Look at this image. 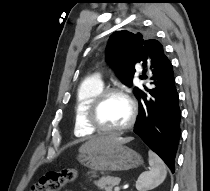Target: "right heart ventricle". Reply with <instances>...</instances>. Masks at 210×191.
Returning a JSON list of instances; mask_svg holds the SVG:
<instances>
[{
	"label": "right heart ventricle",
	"instance_id": "e07e8e85",
	"mask_svg": "<svg viewBox=\"0 0 210 191\" xmlns=\"http://www.w3.org/2000/svg\"><path fill=\"white\" fill-rule=\"evenodd\" d=\"M104 88L100 80L89 78L84 80L77 91L75 115H74V133L77 136L88 137L96 131L86 122V113L93 98Z\"/></svg>",
	"mask_w": 210,
	"mask_h": 191
}]
</instances>
